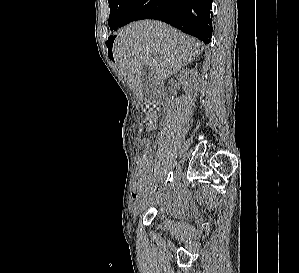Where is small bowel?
<instances>
[{
    "instance_id": "obj_1",
    "label": "small bowel",
    "mask_w": 299,
    "mask_h": 273,
    "mask_svg": "<svg viewBox=\"0 0 299 273\" xmlns=\"http://www.w3.org/2000/svg\"><path fill=\"white\" fill-rule=\"evenodd\" d=\"M146 127L154 131L158 127V115L154 109L149 108L145 117ZM152 151L143 150L139 160V170L134 180L133 199H137L142 194L148 192L152 187V175L155 174V168L152 165Z\"/></svg>"
}]
</instances>
